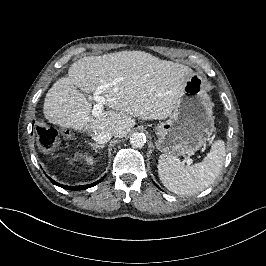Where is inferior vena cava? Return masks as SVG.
I'll return each mask as SVG.
<instances>
[{
  "label": "inferior vena cava",
  "mask_w": 266,
  "mask_h": 266,
  "mask_svg": "<svg viewBox=\"0 0 266 266\" xmlns=\"http://www.w3.org/2000/svg\"><path fill=\"white\" fill-rule=\"evenodd\" d=\"M92 132L93 140L99 144L107 143L112 137V133L107 130H94Z\"/></svg>",
  "instance_id": "602c4592"
}]
</instances>
